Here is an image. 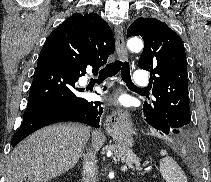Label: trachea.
Returning a JSON list of instances; mask_svg holds the SVG:
<instances>
[{"label": "trachea", "mask_w": 211, "mask_h": 182, "mask_svg": "<svg viewBox=\"0 0 211 182\" xmlns=\"http://www.w3.org/2000/svg\"><path fill=\"white\" fill-rule=\"evenodd\" d=\"M120 71H121L122 80L129 87L138 88L133 84L131 80L130 67L127 61L122 62L118 60V61H115L114 63H110L106 65L104 68H102L99 74L104 77H111V76L116 75ZM138 89H142V88H138Z\"/></svg>", "instance_id": "1"}]
</instances>
